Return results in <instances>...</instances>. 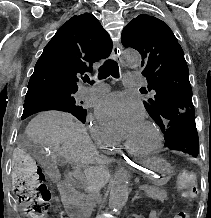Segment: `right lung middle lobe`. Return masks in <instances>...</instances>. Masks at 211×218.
Here are the masks:
<instances>
[{"mask_svg": "<svg viewBox=\"0 0 211 218\" xmlns=\"http://www.w3.org/2000/svg\"><path fill=\"white\" fill-rule=\"evenodd\" d=\"M75 93L76 91L60 93L25 102L22 119L40 111L60 110L70 112L84 123L86 119V109H83L80 105L83 102H79L75 99Z\"/></svg>", "mask_w": 211, "mask_h": 218, "instance_id": "right-lung-middle-lobe-1", "label": "right lung middle lobe"}]
</instances>
